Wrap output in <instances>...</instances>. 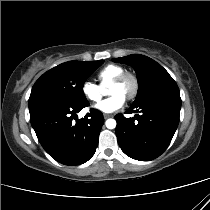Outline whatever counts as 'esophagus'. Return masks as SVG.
<instances>
[{
  "label": "esophagus",
  "instance_id": "esophagus-1",
  "mask_svg": "<svg viewBox=\"0 0 210 210\" xmlns=\"http://www.w3.org/2000/svg\"><path fill=\"white\" fill-rule=\"evenodd\" d=\"M103 116H104V119H108V118L112 117V115H110V114H104Z\"/></svg>",
  "mask_w": 210,
  "mask_h": 210
}]
</instances>
